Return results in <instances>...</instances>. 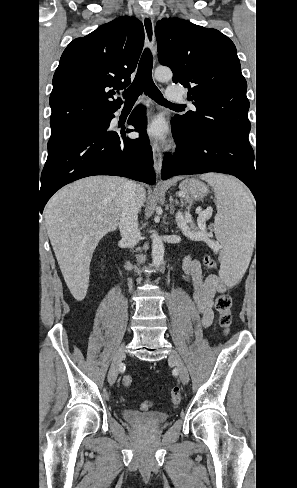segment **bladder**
I'll return each mask as SVG.
<instances>
[{
    "instance_id": "obj_1",
    "label": "bladder",
    "mask_w": 297,
    "mask_h": 488,
    "mask_svg": "<svg viewBox=\"0 0 297 488\" xmlns=\"http://www.w3.org/2000/svg\"><path fill=\"white\" fill-rule=\"evenodd\" d=\"M123 417L128 422L135 425L154 427L165 423L168 420L169 415L158 411L141 413L133 410H126L123 412Z\"/></svg>"
}]
</instances>
